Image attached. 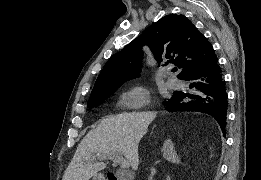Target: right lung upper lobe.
Instances as JSON below:
<instances>
[{
	"instance_id": "right-lung-upper-lobe-1",
	"label": "right lung upper lobe",
	"mask_w": 261,
	"mask_h": 180,
	"mask_svg": "<svg viewBox=\"0 0 261 180\" xmlns=\"http://www.w3.org/2000/svg\"><path fill=\"white\" fill-rule=\"evenodd\" d=\"M143 45L150 47L159 62L165 60V65L173 63L182 69L177 76L179 79L217 61L210 42L185 16L167 15L108 60L90 99L113 93L124 82L138 76Z\"/></svg>"
}]
</instances>
